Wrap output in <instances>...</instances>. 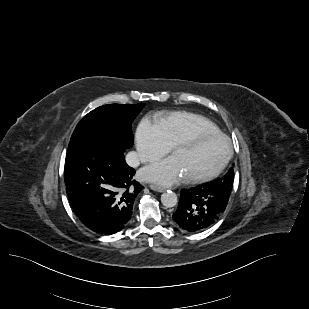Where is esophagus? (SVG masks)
Instances as JSON below:
<instances>
[{
  "instance_id": "esophagus-1",
  "label": "esophagus",
  "mask_w": 309,
  "mask_h": 309,
  "mask_svg": "<svg viewBox=\"0 0 309 309\" xmlns=\"http://www.w3.org/2000/svg\"><path fill=\"white\" fill-rule=\"evenodd\" d=\"M150 189L157 191V192H163L165 190V187L157 185V184H151Z\"/></svg>"
}]
</instances>
